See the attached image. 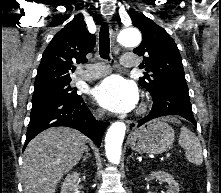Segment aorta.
<instances>
[{"mask_svg":"<svg viewBox=\"0 0 221 193\" xmlns=\"http://www.w3.org/2000/svg\"><path fill=\"white\" fill-rule=\"evenodd\" d=\"M119 42L126 47L136 46L141 42V34L136 28H126L119 35ZM126 132L123 122H115L108 129L105 137V151L108 160L118 164L121 158V146Z\"/></svg>","mask_w":221,"mask_h":193,"instance_id":"aorta-1","label":"aorta"}]
</instances>
